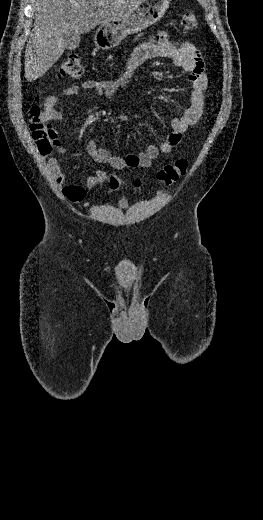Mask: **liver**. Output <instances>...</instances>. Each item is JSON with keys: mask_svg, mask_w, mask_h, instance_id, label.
<instances>
[{"mask_svg": "<svg viewBox=\"0 0 263 520\" xmlns=\"http://www.w3.org/2000/svg\"><path fill=\"white\" fill-rule=\"evenodd\" d=\"M34 28L25 50V78L43 76L64 53V34H84L123 16L141 0H35Z\"/></svg>", "mask_w": 263, "mask_h": 520, "instance_id": "1", "label": "liver"}]
</instances>
